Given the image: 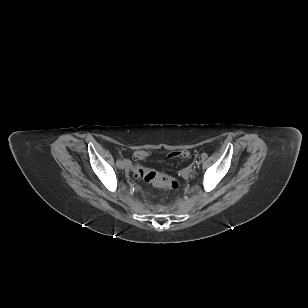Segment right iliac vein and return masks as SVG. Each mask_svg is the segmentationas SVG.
Returning <instances> with one entry per match:
<instances>
[{"instance_id": "obj_1", "label": "right iliac vein", "mask_w": 308, "mask_h": 308, "mask_svg": "<svg viewBox=\"0 0 308 308\" xmlns=\"http://www.w3.org/2000/svg\"><path fill=\"white\" fill-rule=\"evenodd\" d=\"M121 169H125L126 168V164L124 162L121 161V163L118 166Z\"/></svg>"}]
</instances>
